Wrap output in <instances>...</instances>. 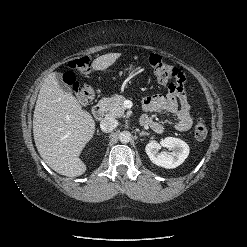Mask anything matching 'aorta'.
I'll return each instance as SVG.
<instances>
[{"label": "aorta", "instance_id": "aorta-1", "mask_svg": "<svg viewBox=\"0 0 247 247\" xmlns=\"http://www.w3.org/2000/svg\"><path fill=\"white\" fill-rule=\"evenodd\" d=\"M132 139V135L128 131H123L119 134V140L122 143H129Z\"/></svg>", "mask_w": 247, "mask_h": 247}]
</instances>
